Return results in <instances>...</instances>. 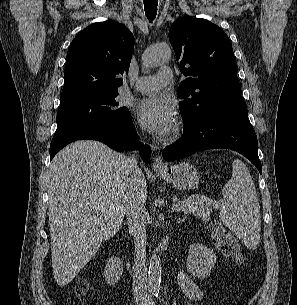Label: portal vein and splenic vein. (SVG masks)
Segmentation results:
<instances>
[{"mask_svg": "<svg viewBox=\"0 0 297 305\" xmlns=\"http://www.w3.org/2000/svg\"><path fill=\"white\" fill-rule=\"evenodd\" d=\"M189 201H190V199H189ZM183 204H185V202H176V203H174L173 205H172V209L173 210H179L180 209V207L183 205ZM215 207H217L219 204L218 203H216V202H214V203H212Z\"/></svg>", "mask_w": 297, "mask_h": 305, "instance_id": "18ae733b", "label": "portal vein and splenic vein"}]
</instances>
